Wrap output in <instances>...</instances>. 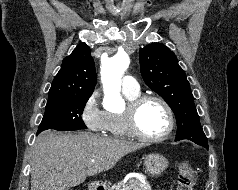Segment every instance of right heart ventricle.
I'll use <instances>...</instances> for the list:
<instances>
[{
  "instance_id": "e07e8e85",
  "label": "right heart ventricle",
  "mask_w": 238,
  "mask_h": 190,
  "mask_svg": "<svg viewBox=\"0 0 238 190\" xmlns=\"http://www.w3.org/2000/svg\"><path fill=\"white\" fill-rule=\"evenodd\" d=\"M128 101L138 97L140 92H124ZM107 131L115 137H131L125 119V111L119 113H107Z\"/></svg>"
}]
</instances>
